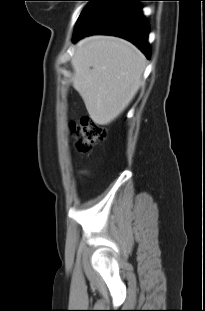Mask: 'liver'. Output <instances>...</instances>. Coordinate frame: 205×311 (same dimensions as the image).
<instances>
[{
  "instance_id": "1",
  "label": "liver",
  "mask_w": 205,
  "mask_h": 311,
  "mask_svg": "<svg viewBox=\"0 0 205 311\" xmlns=\"http://www.w3.org/2000/svg\"><path fill=\"white\" fill-rule=\"evenodd\" d=\"M71 63L73 87L91 119L98 125H108L137 93L146 59L125 40L94 36L79 43Z\"/></svg>"
}]
</instances>
